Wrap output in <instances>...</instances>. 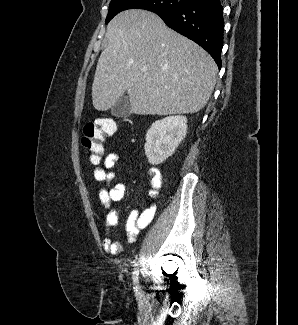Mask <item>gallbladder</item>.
Listing matches in <instances>:
<instances>
[{"mask_svg":"<svg viewBox=\"0 0 298 325\" xmlns=\"http://www.w3.org/2000/svg\"><path fill=\"white\" fill-rule=\"evenodd\" d=\"M111 114H114V116H130L129 96H120L119 100L111 106Z\"/></svg>","mask_w":298,"mask_h":325,"instance_id":"gallbladder-1","label":"gallbladder"}]
</instances>
